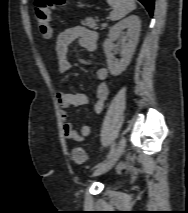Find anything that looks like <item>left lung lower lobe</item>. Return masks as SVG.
<instances>
[{"instance_id": "left-lung-lower-lobe-1", "label": "left lung lower lobe", "mask_w": 188, "mask_h": 213, "mask_svg": "<svg viewBox=\"0 0 188 213\" xmlns=\"http://www.w3.org/2000/svg\"><path fill=\"white\" fill-rule=\"evenodd\" d=\"M148 10L150 15L153 13V8H154V0H139Z\"/></svg>"}]
</instances>
